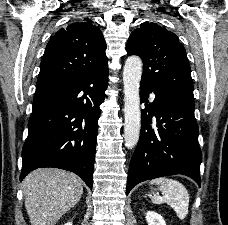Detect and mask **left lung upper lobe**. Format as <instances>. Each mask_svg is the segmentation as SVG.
<instances>
[{"instance_id": "1", "label": "left lung upper lobe", "mask_w": 228, "mask_h": 225, "mask_svg": "<svg viewBox=\"0 0 228 225\" xmlns=\"http://www.w3.org/2000/svg\"><path fill=\"white\" fill-rule=\"evenodd\" d=\"M179 38L153 22L134 30L126 44L128 55H138L144 64L141 81L156 90L194 100L190 65Z\"/></svg>"}]
</instances>
